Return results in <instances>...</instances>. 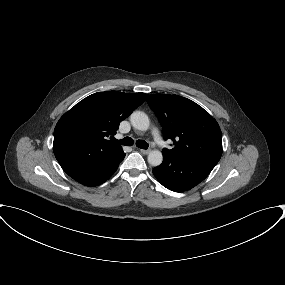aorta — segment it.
I'll return each mask as SVG.
<instances>
[{"instance_id":"762f6f07","label":"aorta","mask_w":285,"mask_h":285,"mask_svg":"<svg viewBox=\"0 0 285 285\" xmlns=\"http://www.w3.org/2000/svg\"><path fill=\"white\" fill-rule=\"evenodd\" d=\"M130 122L135 129L146 131L149 129L150 121L148 116L142 111H134L130 116ZM163 156L159 150H152L148 154V163L152 166H159Z\"/></svg>"}]
</instances>
